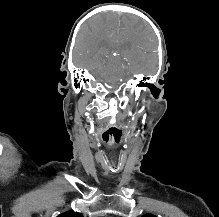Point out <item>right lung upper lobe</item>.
I'll list each match as a JSON object with an SVG mask.
<instances>
[{
  "label": "right lung upper lobe",
  "mask_w": 219,
  "mask_h": 217,
  "mask_svg": "<svg viewBox=\"0 0 219 217\" xmlns=\"http://www.w3.org/2000/svg\"><path fill=\"white\" fill-rule=\"evenodd\" d=\"M58 217H83L82 214L76 212H66L64 214H60Z\"/></svg>",
  "instance_id": "right-lung-upper-lobe-1"
}]
</instances>
